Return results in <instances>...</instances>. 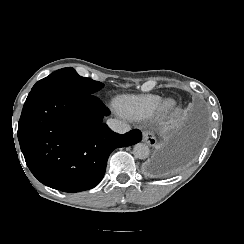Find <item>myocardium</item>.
Returning a JSON list of instances; mask_svg holds the SVG:
<instances>
[{"label":"myocardium","mask_w":244,"mask_h":244,"mask_svg":"<svg viewBox=\"0 0 244 244\" xmlns=\"http://www.w3.org/2000/svg\"><path fill=\"white\" fill-rule=\"evenodd\" d=\"M176 108V102L172 98H166L159 105L158 119L160 122L167 121Z\"/></svg>","instance_id":"myocardium-1"}]
</instances>
